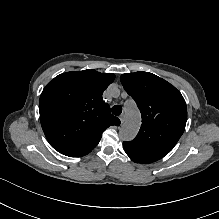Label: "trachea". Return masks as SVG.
I'll list each match as a JSON object with an SVG mask.
<instances>
[{
	"instance_id": "1",
	"label": "trachea",
	"mask_w": 219,
	"mask_h": 219,
	"mask_svg": "<svg viewBox=\"0 0 219 219\" xmlns=\"http://www.w3.org/2000/svg\"><path fill=\"white\" fill-rule=\"evenodd\" d=\"M122 107L120 105H114L112 107V113L116 116L120 115L122 113Z\"/></svg>"
}]
</instances>
